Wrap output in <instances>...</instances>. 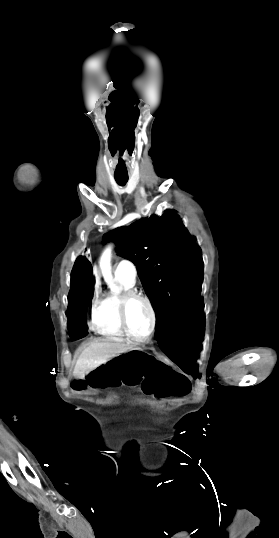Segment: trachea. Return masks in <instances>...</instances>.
Returning a JSON list of instances; mask_svg holds the SVG:
<instances>
[{
    "instance_id": "1",
    "label": "trachea",
    "mask_w": 279,
    "mask_h": 538,
    "mask_svg": "<svg viewBox=\"0 0 279 538\" xmlns=\"http://www.w3.org/2000/svg\"><path fill=\"white\" fill-rule=\"evenodd\" d=\"M115 180L116 182L118 183V185L120 186H124L126 185L127 181H128V177H119V176H115Z\"/></svg>"
}]
</instances>
